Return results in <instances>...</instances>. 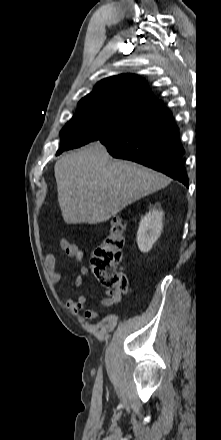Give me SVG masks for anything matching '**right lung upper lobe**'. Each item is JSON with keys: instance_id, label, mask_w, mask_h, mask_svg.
Returning a JSON list of instances; mask_svg holds the SVG:
<instances>
[{"instance_id": "cb5924a9", "label": "right lung upper lobe", "mask_w": 221, "mask_h": 440, "mask_svg": "<svg viewBox=\"0 0 221 440\" xmlns=\"http://www.w3.org/2000/svg\"><path fill=\"white\" fill-rule=\"evenodd\" d=\"M111 102L122 109L135 112L156 102L146 81L135 74H120L98 82L94 90L80 102Z\"/></svg>"}]
</instances>
